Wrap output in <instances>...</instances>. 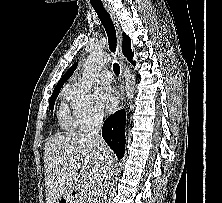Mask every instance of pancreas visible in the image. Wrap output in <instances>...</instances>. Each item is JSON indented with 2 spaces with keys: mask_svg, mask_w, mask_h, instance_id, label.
<instances>
[{
  "mask_svg": "<svg viewBox=\"0 0 222 203\" xmlns=\"http://www.w3.org/2000/svg\"><path fill=\"white\" fill-rule=\"evenodd\" d=\"M94 194L93 193H84L80 198V203H93Z\"/></svg>",
  "mask_w": 222,
  "mask_h": 203,
  "instance_id": "pancreas-1",
  "label": "pancreas"
}]
</instances>
